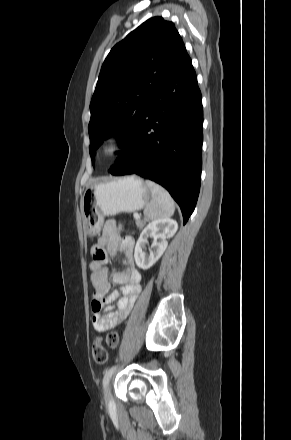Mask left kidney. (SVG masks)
I'll return each mask as SVG.
<instances>
[{
	"mask_svg": "<svg viewBox=\"0 0 291 440\" xmlns=\"http://www.w3.org/2000/svg\"><path fill=\"white\" fill-rule=\"evenodd\" d=\"M177 229V222L170 218H159L150 222L141 232L135 246L134 258L137 266L143 270L152 267L166 250L167 239L173 237ZM148 238L154 239L149 253L146 250Z\"/></svg>",
	"mask_w": 291,
	"mask_h": 440,
	"instance_id": "obj_1",
	"label": "left kidney"
}]
</instances>
